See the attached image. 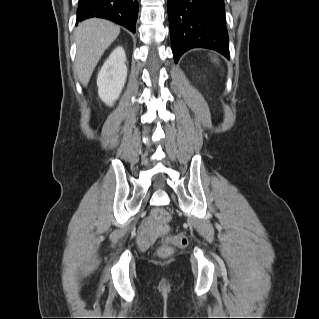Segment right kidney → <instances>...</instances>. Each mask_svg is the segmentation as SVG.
<instances>
[{"label":"right kidney","instance_id":"right-kidney-1","mask_svg":"<svg viewBox=\"0 0 319 319\" xmlns=\"http://www.w3.org/2000/svg\"><path fill=\"white\" fill-rule=\"evenodd\" d=\"M126 55L117 47L103 64L98 77V95L108 106L119 98L127 78Z\"/></svg>","mask_w":319,"mask_h":319}]
</instances>
